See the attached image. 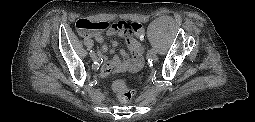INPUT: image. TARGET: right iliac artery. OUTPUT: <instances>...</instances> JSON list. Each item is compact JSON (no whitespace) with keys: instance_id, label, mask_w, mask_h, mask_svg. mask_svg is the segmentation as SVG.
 <instances>
[{"instance_id":"right-iliac-artery-1","label":"right iliac artery","mask_w":255,"mask_h":122,"mask_svg":"<svg viewBox=\"0 0 255 122\" xmlns=\"http://www.w3.org/2000/svg\"><path fill=\"white\" fill-rule=\"evenodd\" d=\"M89 54H90V56H92L95 54V52L93 50H90Z\"/></svg>"}]
</instances>
